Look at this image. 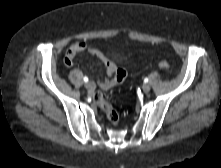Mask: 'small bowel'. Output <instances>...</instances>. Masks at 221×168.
<instances>
[{
    "label": "small bowel",
    "instance_id": "small-bowel-1",
    "mask_svg": "<svg viewBox=\"0 0 221 168\" xmlns=\"http://www.w3.org/2000/svg\"><path fill=\"white\" fill-rule=\"evenodd\" d=\"M81 52L90 53L96 57L100 64L105 66V76L99 79L97 82L100 88L104 90L110 89L125 79L126 72L124 69L118 68L117 65L110 58L104 55L99 49L88 46L85 42L82 41L75 42L68 48L64 59L65 64L67 66H71L73 64L75 55Z\"/></svg>",
    "mask_w": 221,
    "mask_h": 168
}]
</instances>
